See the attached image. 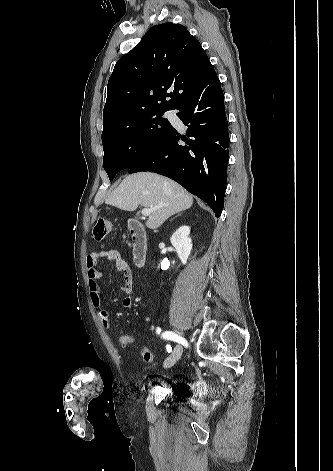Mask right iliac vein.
I'll return each instance as SVG.
<instances>
[{"label":"right iliac vein","instance_id":"right-iliac-vein-1","mask_svg":"<svg viewBox=\"0 0 333 471\" xmlns=\"http://www.w3.org/2000/svg\"><path fill=\"white\" fill-rule=\"evenodd\" d=\"M182 354V347L177 345L172 352V354L166 359L164 363V368H170L174 365V363L181 357Z\"/></svg>","mask_w":333,"mask_h":471}]
</instances>
